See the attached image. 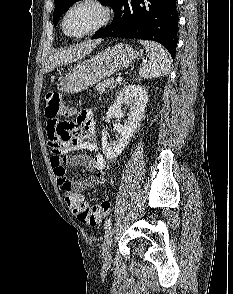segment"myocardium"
I'll list each match as a JSON object with an SVG mask.
<instances>
[{
    "label": "myocardium",
    "mask_w": 233,
    "mask_h": 294,
    "mask_svg": "<svg viewBox=\"0 0 233 294\" xmlns=\"http://www.w3.org/2000/svg\"><path fill=\"white\" fill-rule=\"evenodd\" d=\"M83 5H91L95 8H97L100 12V18L98 23L92 27L91 29H89L88 31L82 33V34H70L67 29H66V21L67 18L69 16V14L76 9L77 7L83 6ZM112 18V10L111 8L104 3L102 0H76L74 1L65 11L63 18H62V22H61V28L63 30V33L70 37V38H74V39H82L88 36H91L95 33H97L98 31H100L103 27H105Z\"/></svg>",
    "instance_id": "obj_1"
}]
</instances>
